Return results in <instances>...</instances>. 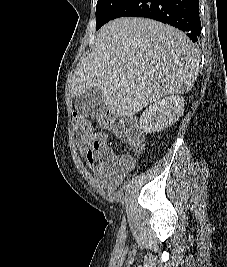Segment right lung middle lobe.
Here are the masks:
<instances>
[{
  "mask_svg": "<svg viewBox=\"0 0 227 267\" xmlns=\"http://www.w3.org/2000/svg\"><path fill=\"white\" fill-rule=\"evenodd\" d=\"M128 0H98L96 6V30L112 20L116 12Z\"/></svg>",
  "mask_w": 227,
  "mask_h": 267,
  "instance_id": "dd1d6c3e",
  "label": "right lung middle lobe"
}]
</instances>
